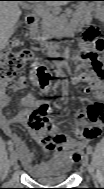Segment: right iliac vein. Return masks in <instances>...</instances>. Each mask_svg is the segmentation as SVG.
I'll return each instance as SVG.
<instances>
[{"label":"right iliac vein","instance_id":"1","mask_svg":"<svg viewBox=\"0 0 104 189\" xmlns=\"http://www.w3.org/2000/svg\"><path fill=\"white\" fill-rule=\"evenodd\" d=\"M17 160H18V153L16 151H14L11 154V164H12L13 167L16 166Z\"/></svg>","mask_w":104,"mask_h":189}]
</instances>
